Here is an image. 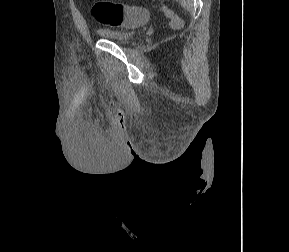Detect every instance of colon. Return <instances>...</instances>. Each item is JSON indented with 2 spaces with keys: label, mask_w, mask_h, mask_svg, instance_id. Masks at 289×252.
Listing matches in <instances>:
<instances>
[{
  "label": "colon",
  "mask_w": 289,
  "mask_h": 252,
  "mask_svg": "<svg viewBox=\"0 0 289 252\" xmlns=\"http://www.w3.org/2000/svg\"><path fill=\"white\" fill-rule=\"evenodd\" d=\"M165 13L175 25L180 24V19L172 11L166 9ZM92 14L99 23L115 27H135L139 23H146L150 18V13L146 8L107 0L95 2L92 6Z\"/></svg>",
  "instance_id": "colon-1"
}]
</instances>
